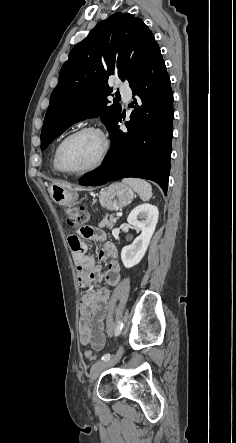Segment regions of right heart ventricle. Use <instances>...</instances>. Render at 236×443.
<instances>
[{
	"label": "right heart ventricle",
	"instance_id": "1",
	"mask_svg": "<svg viewBox=\"0 0 236 443\" xmlns=\"http://www.w3.org/2000/svg\"><path fill=\"white\" fill-rule=\"evenodd\" d=\"M56 149H57V147H56ZM56 149L53 154L52 164H53L54 170L57 172H60V170L58 169L57 163H56Z\"/></svg>",
	"mask_w": 236,
	"mask_h": 443
}]
</instances>
